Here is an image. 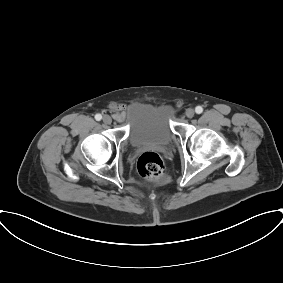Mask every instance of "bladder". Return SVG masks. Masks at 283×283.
<instances>
[{"label": "bladder", "mask_w": 283, "mask_h": 283, "mask_svg": "<svg viewBox=\"0 0 283 283\" xmlns=\"http://www.w3.org/2000/svg\"><path fill=\"white\" fill-rule=\"evenodd\" d=\"M174 109L169 104L134 103L128 110V139L132 146H166L174 136Z\"/></svg>", "instance_id": "31cf9c89"}]
</instances>
